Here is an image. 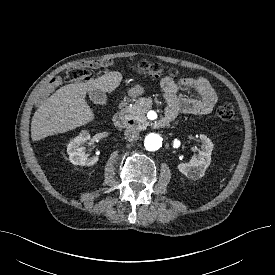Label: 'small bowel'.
Instances as JSON below:
<instances>
[{
	"label": "small bowel",
	"mask_w": 275,
	"mask_h": 275,
	"mask_svg": "<svg viewBox=\"0 0 275 275\" xmlns=\"http://www.w3.org/2000/svg\"><path fill=\"white\" fill-rule=\"evenodd\" d=\"M160 87L168 104L169 118H172L178 111L197 116L207 115L212 111L218 99L210 82L203 77H188L177 81L164 77L160 81ZM183 88L194 90L197 98L181 97L178 93Z\"/></svg>",
	"instance_id": "obj_1"
}]
</instances>
